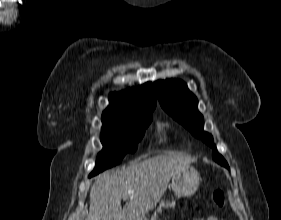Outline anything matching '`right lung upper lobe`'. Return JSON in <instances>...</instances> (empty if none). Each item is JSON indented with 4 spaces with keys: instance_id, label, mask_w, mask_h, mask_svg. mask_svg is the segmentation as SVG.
I'll return each mask as SVG.
<instances>
[{
    "instance_id": "1",
    "label": "right lung upper lobe",
    "mask_w": 281,
    "mask_h": 220,
    "mask_svg": "<svg viewBox=\"0 0 281 220\" xmlns=\"http://www.w3.org/2000/svg\"><path fill=\"white\" fill-rule=\"evenodd\" d=\"M110 105L102 114L104 126L152 115L156 107V97L150 82L137 88H129L109 97Z\"/></svg>"
}]
</instances>
